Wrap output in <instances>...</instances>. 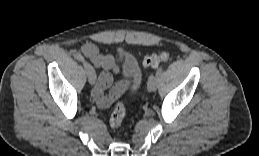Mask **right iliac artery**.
<instances>
[{"label":"right iliac artery","mask_w":259,"mask_h":156,"mask_svg":"<svg viewBox=\"0 0 259 156\" xmlns=\"http://www.w3.org/2000/svg\"><path fill=\"white\" fill-rule=\"evenodd\" d=\"M75 58L81 62H85L84 57L80 53H75Z\"/></svg>","instance_id":"right-iliac-artery-1"}]
</instances>
